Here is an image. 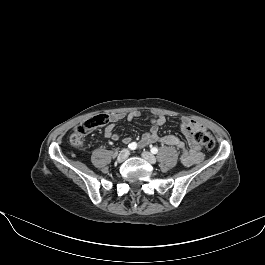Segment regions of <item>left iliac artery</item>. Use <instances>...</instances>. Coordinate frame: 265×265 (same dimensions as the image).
<instances>
[{"instance_id":"left-iliac-artery-1","label":"left iliac artery","mask_w":265,"mask_h":265,"mask_svg":"<svg viewBox=\"0 0 265 265\" xmlns=\"http://www.w3.org/2000/svg\"><path fill=\"white\" fill-rule=\"evenodd\" d=\"M150 151L153 154H157L158 153V149L156 147H152Z\"/></svg>"}]
</instances>
